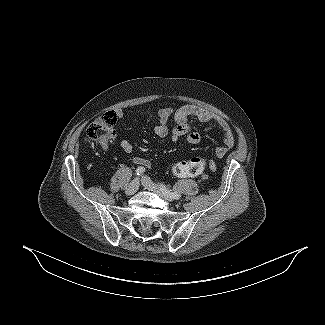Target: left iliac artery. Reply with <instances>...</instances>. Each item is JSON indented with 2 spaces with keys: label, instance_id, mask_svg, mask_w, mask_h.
I'll use <instances>...</instances> for the list:
<instances>
[{
  "label": "left iliac artery",
  "instance_id": "44dca946",
  "mask_svg": "<svg viewBox=\"0 0 325 325\" xmlns=\"http://www.w3.org/2000/svg\"><path fill=\"white\" fill-rule=\"evenodd\" d=\"M160 189L162 190V192H164L165 194L173 197L174 199H179L181 197L180 194H178L177 192H173L172 190H169L165 187V185L160 184Z\"/></svg>",
  "mask_w": 325,
  "mask_h": 325
}]
</instances>
